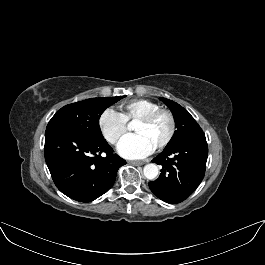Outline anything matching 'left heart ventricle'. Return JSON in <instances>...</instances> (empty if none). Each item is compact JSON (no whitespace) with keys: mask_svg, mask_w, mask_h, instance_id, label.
<instances>
[{"mask_svg":"<svg viewBox=\"0 0 265 265\" xmlns=\"http://www.w3.org/2000/svg\"><path fill=\"white\" fill-rule=\"evenodd\" d=\"M169 121L165 115L155 117L147 124L133 125V132L142 135L153 147V149L161 143L168 132Z\"/></svg>","mask_w":265,"mask_h":265,"instance_id":"b2bd125f","label":"left heart ventricle"}]
</instances>
